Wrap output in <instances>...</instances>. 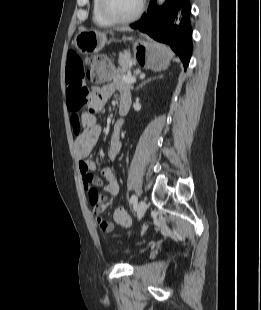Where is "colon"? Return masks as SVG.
<instances>
[{"label":"colon","mask_w":261,"mask_h":310,"mask_svg":"<svg viewBox=\"0 0 261 310\" xmlns=\"http://www.w3.org/2000/svg\"><path fill=\"white\" fill-rule=\"evenodd\" d=\"M87 78L93 83H99L109 79L112 76L113 70L109 59L105 55H96L89 60ZM89 199L92 205L100 203V196L95 190L89 193ZM114 219L117 223L129 226L131 219L123 207H118L114 211ZM101 231L108 233L112 230V224L99 220Z\"/></svg>","instance_id":"colon-1"}]
</instances>
